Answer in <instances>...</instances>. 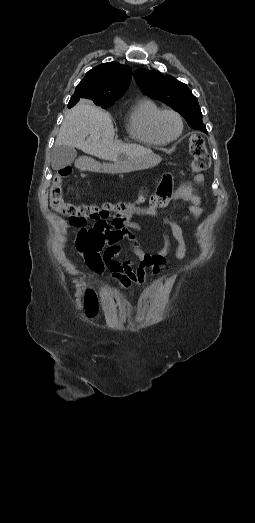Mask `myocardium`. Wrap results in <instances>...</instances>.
<instances>
[{
    "label": "myocardium",
    "mask_w": 255,
    "mask_h": 523,
    "mask_svg": "<svg viewBox=\"0 0 255 523\" xmlns=\"http://www.w3.org/2000/svg\"><path fill=\"white\" fill-rule=\"evenodd\" d=\"M165 114H172L176 117V119L178 120V123H179V131L177 133V135L173 138H165L160 130V127H159V123H160V120L161 118L165 115ZM153 129L156 133V135L164 142H172V141H175L177 140L182 132H183V129H184V121H183V118L181 116V114L175 110V109H172V108H164V109H161L155 116L154 120H153Z\"/></svg>",
    "instance_id": "obj_1"
}]
</instances>
